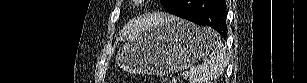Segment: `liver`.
<instances>
[{
	"mask_svg": "<svg viewBox=\"0 0 307 83\" xmlns=\"http://www.w3.org/2000/svg\"><path fill=\"white\" fill-rule=\"evenodd\" d=\"M172 18H175L173 16H167V15H163L161 14V17H151L148 18V20H142V21H135L134 23H130L127 26H125V28L122 30L121 34H120V38H134L136 36H138V34L141 32V28L143 27L145 22H155V23H159L162 21H166V20H170Z\"/></svg>",
	"mask_w": 307,
	"mask_h": 83,
	"instance_id": "liver-1",
	"label": "liver"
}]
</instances>
